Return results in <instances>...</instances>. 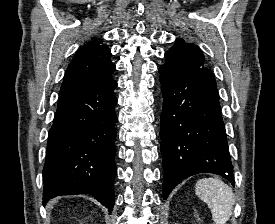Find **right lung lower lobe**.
Wrapping results in <instances>:
<instances>
[{
    "mask_svg": "<svg viewBox=\"0 0 275 224\" xmlns=\"http://www.w3.org/2000/svg\"><path fill=\"white\" fill-rule=\"evenodd\" d=\"M115 80L58 99L48 133L43 204L60 195L91 194L111 213L116 175Z\"/></svg>",
    "mask_w": 275,
    "mask_h": 224,
    "instance_id": "1",
    "label": "right lung lower lobe"
}]
</instances>
